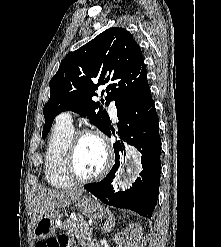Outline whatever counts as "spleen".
<instances>
[{
    "instance_id": "1",
    "label": "spleen",
    "mask_w": 221,
    "mask_h": 247,
    "mask_svg": "<svg viewBox=\"0 0 221 247\" xmlns=\"http://www.w3.org/2000/svg\"><path fill=\"white\" fill-rule=\"evenodd\" d=\"M107 213H108L109 217H108L107 222L103 226V230L106 232H109V231H111V228L113 227L115 220H114L113 215L111 214V212L109 210H107Z\"/></svg>"
}]
</instances>
